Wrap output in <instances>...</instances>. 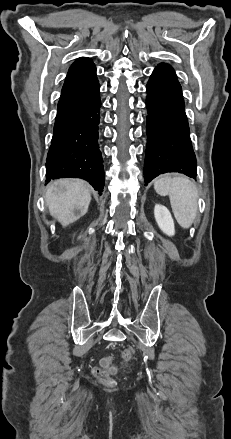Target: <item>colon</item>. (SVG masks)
Returning <instances> with one entry per match:
<instances>
[{
    "label": "colon",
    "instance_id": "colon-1",
    "mask_svg": "<svg viewBox=\"0 0 231 439\" xmlns=\"http://www.w3.org/2000/svg\"><path fill=\"white\" fill-rule=\"evenodd\" d=\"M134 357V351L130 348H126L122 352V358L125 362H130ZM114 371V366L109 359H103L100 366L93 369L94 376L104 383H110V375Z\"/></svg>",
    "mask_w": 231,
    "mask_h": 439
}]
</instances>
